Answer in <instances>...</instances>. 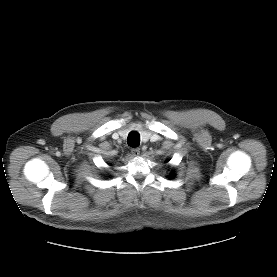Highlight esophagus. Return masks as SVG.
<instances>
[{"mask_svg": "<svg viewBox=\"0 0 277 277\" xmlns=\"http://www.w3.org/2000/svg\"><path fill=\"white\" fill-rule=\"evenodd\" d=\"M131 153L133 156L137 157L140 155V149L139 148H132Z\"/></svg>", "mask_w": 277, "mask_h": 277, "instance_id": "obj_1", "label": "esophagus"}]
</instances>
